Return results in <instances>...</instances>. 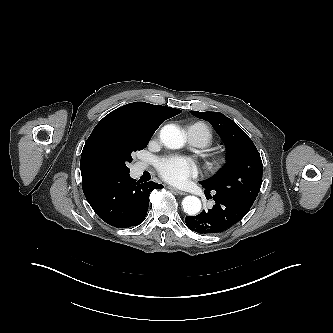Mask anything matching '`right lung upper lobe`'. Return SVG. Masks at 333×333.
<instances>
[{
	"instance_id": "cb5924a9",
	"label": "right lung upper lobe",
	"mask_w": 333,
	"mask_h": 333,
	"mask_svg": "<svg viewBox=\"0 0 333 333\" xmlns=\"http://www.w3.org/2000/svg\"><path fill=\"white\" fill-rule=\"evenodd\" d=\"M181 110L153 105L145 102H133L117 108L106 115L94 128L87 139L81 154L82 184L88 183L100 176L101 171L89 157V145L93 134L102 126L116 124L142 135H153L159 125L166 119L176 116Z\"/></svg>"
}]
</instances>
